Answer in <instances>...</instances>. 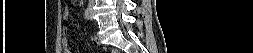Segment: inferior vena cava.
I'll use <instances>...</instances> for the list:
<instances>
[{
    "instance_id": "inferior-vena-cava-1",
    "label": "inferior vena cava",
    "mask_w": 253,
    "mask_h": 53,
    "mask_svg": "<svg viewBox=\"0 0 253 53\" xmlns=\"http://www.w3.org/2000/svg\"><path fill=\"white\" fill-rule=\"evenodd\" d=\"M90 2H94V0H90Z\"/></svg>"
}]
</instances>
